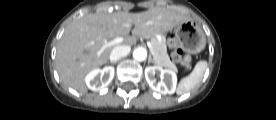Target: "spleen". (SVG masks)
<instances>
[{"mask_svg": "<svg viewBox=\"0 0 276 120\" xmlns=\"http://www.w3.org/2000/svg\"><path fill=\"white\" fill-rule=\"evenodd\" d=\"M206 68H207L206 61L197 62L192 73L189 76L180 80L176 93L178 95H182L189 92L194 87H196L202 80Z\"/></svg>", "mask_w": 276, "mask_h": 120, "instance_id": "obj_1", "label": "spleen"}]
</instances>
